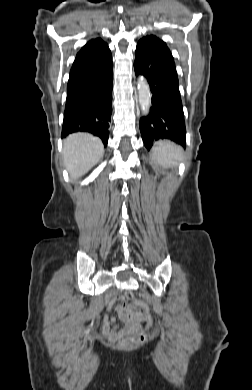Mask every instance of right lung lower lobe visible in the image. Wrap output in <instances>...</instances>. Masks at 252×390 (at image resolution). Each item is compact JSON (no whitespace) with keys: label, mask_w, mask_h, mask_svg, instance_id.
Returning <instances> with one entry per match:
<instances>
[{"label":"right lung lower lobe","mask_w":252,"mask_h":390,"mask_svg":"<svg viewBox=\"0 0 252 390\" xmlns=\"http://www.w3.org/2000/svg\"><path fill=\"white\" fill-rule=\"evenodd\" d=\"M113 64L105 73L67 85L62 137L90 132L106 146L112 112Z\"/></svg>","instance_id":"right-lung-lower-lobe-1"}]
</instances>
